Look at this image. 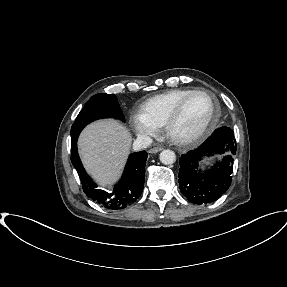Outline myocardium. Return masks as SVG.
<instances>
[{
  "mask_svg": "<svg viewBox=\"0 0 287 287\" xmlns=\"http://www.w3.org/2000/svg\"><path fill=\"white\" fill-rule=\"evenodd\" d=\"M195 95H205L209 98L211 102V112L208 117V120L206 121L205 125L197 132L187 135V136H175L172 133V127L176 123V121L180 118V115L182 113V110L187 103V101ZM219 115V107L215 100V98L208 93L207 91L203 90H193L189 94H187L185 97H183L178 104L175 106L173 111L168 115V117L165 119L163 123V130L166 136L173 141L176 144L179 145H190L197 143L201 140H203L205 137H207L212 130L214 129Z\"/></svg>",
  "mask_w": 287,
  "mask_h": 287,
  "instance_id": "myocardium-1",
  "label": "myocardium"
}]
</instances>
